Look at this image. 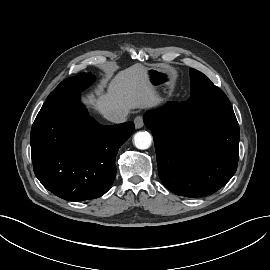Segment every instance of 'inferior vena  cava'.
<instances>
[{"label": "inferior vena cava", "mask_w": 270, "mask_h": 270, "mask_svg": "<svg viewBox=\"0 0 270 270\" xmlns=\"http://www.w3.org/2000/svg\"><path fill=\"white\" fill-rule=\"evenodd\" d=\"M129 110L126 108H119L116 110L109 111L105 118L113 123L119 124L124 123L127 120Z\"/></svg>", "instance_id": "602c4592"}]
</instances>
